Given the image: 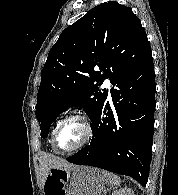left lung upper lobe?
I'll list each match as a JSON object with an SVG mask.
<instances>
[{"label":"left lung upper lobe","mask_w":178,"mask_h":195,"mask_svg":"<svg viewBox=\"0 0 178 195\" xmlns=\"http://www.w3.org/2000/svg\"><path fill=\"white\" fill-rule=\"evenodd\" d=\"M149 51L140 20L115 1L94 7L67 27L41 73L36 106L41 137H47L50 125L67 107L83 108L93 121L107 97L98 84L106 78L113 84Z\"/></svg>","instance_id":"left-lung-upper-lobe-1"}]
</instances>
